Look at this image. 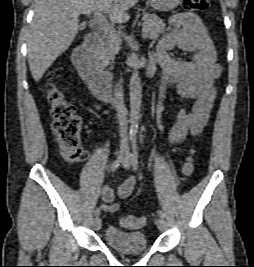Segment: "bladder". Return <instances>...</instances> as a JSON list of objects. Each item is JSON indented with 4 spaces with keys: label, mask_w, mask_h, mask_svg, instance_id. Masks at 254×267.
<instances>
[{
    "label": "bladder",
    "mask_w": 254,
    "mask_h": 267,
    "mask_svg": "<svg viewBox=\"0 0 254 267\" xmlns=\"http://www.w3.org/2000/svg\"><path fill=\"white\" fill-rule=\"evenodd\" d=\"M104 240L113 249L124 253L144 251L148 241L140 231H123L115 226H109L104 232Z\"/></svg>",
    "instance_id": "31cf9c89"
}]
</instances>
